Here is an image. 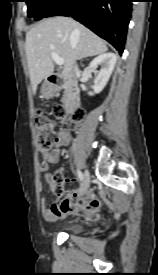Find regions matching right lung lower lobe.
I'll list each match as a JSON object with an SVG mask.
<instances>
[{
    "label": "right lung lower lobe",
    "instance_id": "1",
    "mask_svg": "<svg viewBox=\"0 0 158 275\" xmlns=\"http://www.w3.org/2000/svg\"><path fill=\"white\" fill-rule=\"evenodd\" d=\"M133 0H62L45 17L72 16L123 53Z\"/></svg>",
    "mask_w": 158,
    "mask_h": 275
}]
</instances>
